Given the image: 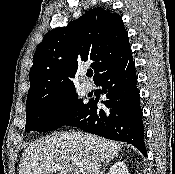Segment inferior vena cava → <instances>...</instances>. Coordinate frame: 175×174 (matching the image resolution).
<instances>
[{
  "mask_svg": "<svg viewBox=\"0 0 175 174\" xmlns=\"http://www.w3.org/2000/svg\"><path fill=\"white\" fill-rule=\"evenodd\" d=\"M100 166H101L100 162L95 163V165L93 166V169H92V174H99Z\"/></svg>",
  "mask_w": 175,
  "mask_h": 174,
  "instance_id": "inferior-vena-cava-1",
  "label": "inferior vena cava"
}]
</instances>
